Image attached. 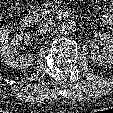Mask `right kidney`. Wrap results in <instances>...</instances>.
Listing matches in <instances>:
<instances>
[{
    "instance_id": "1",
    "label": "right kidney",
    "mask_w": 113,
    "mask_h": 113,
    "mask_svg": "<svg viewBox=\"0 0 113 113\" xmlns=\"http://www.w3.org/2000/svg\"><path fill=\"white\" fill-rule=\"evenodd\" d=\"M30 40V37L25 33L17 34L11 41L9 48L4 54L5 64L17 69L29 67L34 61V56L30 53L20 55L17 51V48L21 41L29 43Z\"/></svg>"
}]
</instances>
